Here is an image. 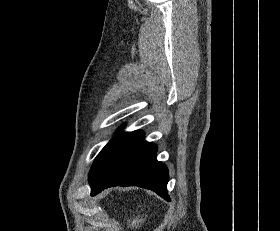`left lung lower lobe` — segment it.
<instances>
[{
	"instance_id": "1",
	"label": "left lung lower lobe",
	"mask_w": 280,
	"mask_h": 231,
	"mask_svg": "<svg viewBox=\"0 0 280 231\" xmlns=\"http://www.w3.org/2000/svg\"><path fill=\"white\" fill-rule=\"evenodd\" d=\"M156 145L144 140L141 131L119 133L101 150L89 172L91 195L113 186H139L170 201L168 171L156 160Z\"/></svg>"
}]
</instances>
